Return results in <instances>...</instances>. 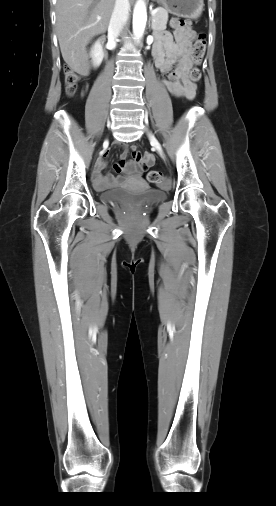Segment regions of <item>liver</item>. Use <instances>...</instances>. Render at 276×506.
Instances as JSON below:
<instances>
[{
	"mask_svg": "<svg viewBox=\"0 0 276 506\" xmlns=\"http://www.w3.org/2000/svg\"><path fill=\"white\" fill-rule=\"evenodd\" d=\"M114 6L115 0L57 1L58 41L62 57L71 70L88 74L86 46L94 36L107 30Z\"/></svg>",
	"mask_w": 276,
	"mask_h": 506,
	"instance_id": "6515ba94",
	"label": "liver"
}]
</instances>
